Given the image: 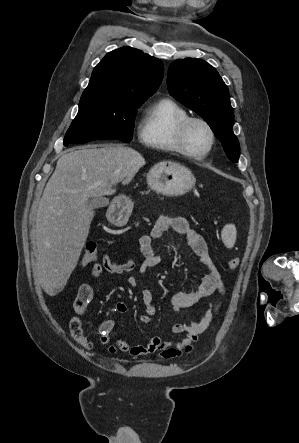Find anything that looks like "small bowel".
<instances>
[{"instance_id": "obj_1", "label": "small bowel", "mask_w": 299, "mask_h": 443, "mask_svg": "<svg viewBox=\"0 0 299 443\" xmlns=\"http://www.w3.org/2000/svg\"><path fill=\"white\" fill-rule=\"evenodd\" d=\"M167 230H172L185 237L192 254L206 270V274L196 291L178 292L172 296L170 301L172 311L179 313L182 309L191 307L202 298L215 293L223 297L225 295V286L221 273L210 255L207 242L202 235L190 228L188 222L183 217L160 215L157 218L151 233L149 235H142L139 238V251L143 256V261L140 264H136L132 259L126 262H117L105 254L100 263H94L91 266L90 278L96 279L100 277L104 270L113 274L134 271L135 273L128 278V283L131 287H136L139 283L140 275L160 264L162 257L155 250L153 240L160 238ZM93 296L94 290L89 283H84L79 287L74 302L75 315L69 322L72 338L86 350H91L93 343L84 334L81 316L86 312ZM141 296L146 308V314L142 315L139 320L142 325H147L150 323L151 316L155 313L156 308L153 304L150 290L143 289ZM219 308L220 301L210 303L209 307L197 321L189 324H174L172 327L173 333L177 335L185 334L182 339L165 341L155 336L147 344H132L124 340L113 341L112 333L115 323L112 319H106L99 325L100 342L111 353L121 352L134 357H141L159 352L162 358L178 357L192 350L198 336L211 325ZM115 310L118 313L124 314L128 308L124 302L119 301L115 305Z\"/></svg>"}]
</instances>
